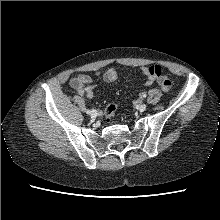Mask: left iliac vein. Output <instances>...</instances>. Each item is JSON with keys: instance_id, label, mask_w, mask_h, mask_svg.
Listing matches in <instances>:
<instances>
[{"instance_id": "obj_1", "label": "left iliac vein", "mask_w": 220, "mask_h": 220, "mask_svg": "<svg viewBox=\"0 0 220 220\" xmlns=\"http://www.w3.org/2000/svg\"><path fill=\"white\" fill-rule=\"evenodd\" d=\"M147 106L145 104L139 105L138 109L140 112H144L146 110Z\"/></svg>"}]
</instances>
